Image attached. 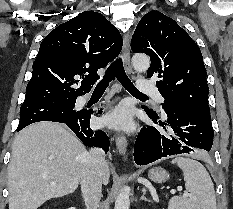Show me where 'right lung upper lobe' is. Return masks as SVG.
<instances>
[{
    "label": "right lung upper lobe",
    "instance_id": "right-lung-upper-lobe-1",
    "mask_svg": "<svg viewBox=\"0 0 233 209\" xmlns=\"http://www.w3.org/2000/svg\"><path fill=\"white\" fill-rule=\"evenodd\" d=\"M122 44L119 31L98 12L85 11L59 25L40 45L24 103L88 93L97 70L119 55Z\"/></svg>",
    "mask_w": 233,
    "mask_h": 209
}]
</instances>
